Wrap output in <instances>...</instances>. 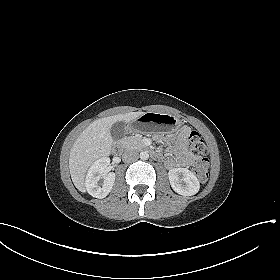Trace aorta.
I'll return each mask as SVG.
<instances>
[{"instance_id": "762f6f07", "label": "aorta", "mask_w": 280, "mask_h": 280, "mask_svg": "<svg viewBox=\"0 0 280 280\" xmlns=\"http://www.w3.org/2000/svg\"><path fill=\"white\" fill-rule=\"evenodd\" d=\"M149 158V153L147 151L140 152V159L147 160Z\"/></svg>"}]
</instances>
